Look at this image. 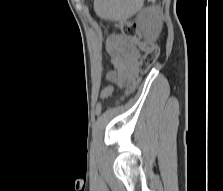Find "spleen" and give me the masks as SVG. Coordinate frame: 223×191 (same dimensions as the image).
<instances>
[{"instance_id":"obj_1","label":"spleen","mask_w":223,"mask_h":191,"mask_svg":"<svg viewBox=\"0 0 223 191\" xmlns=\"http://www.w3.org/2000/svg\"><path fill=\"white\" fill-rule=\"evenodd\" d=\"M142 0H95L94 8L104 19L119 20L130 17L139 9Z\"/></svg>"}]
</instances>
